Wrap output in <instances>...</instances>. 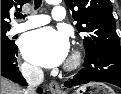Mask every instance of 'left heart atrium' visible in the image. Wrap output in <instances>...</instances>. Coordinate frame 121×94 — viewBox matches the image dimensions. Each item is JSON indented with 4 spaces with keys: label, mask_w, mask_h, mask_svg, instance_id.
Wrapping results in <instances>:
<instances>
[{
    "label": "left heart atrium",
    "mask_w": 121,
    "mask_h": 94,
    "mask_svg": "<svg viewBox=\"0 0 121 94\" xmlns=\"http://www.w3.org/2000/svg\"><path fill=\"white\" fill-rule=\"evenodd\" d=\"M25 58L43 67L62 64L69 52V42L65 34L52 27H45L28 33L22 43Z\"/></svg>",
    "instance_id": "1"
}]
</instances>
